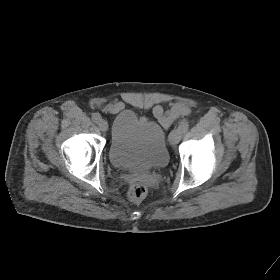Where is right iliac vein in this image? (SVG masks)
<instances>
[{
  "instance_id": "63e3f726",
  "label": "right iliac vein",
  "mask_w": 280,
  "mask_h": 280,
  "mask_svg": "<svg viewBox=\"0 0 280 280\" xmlns=\"http://www.w3.org/2000/svg\"><path fill=\"white\" fill-rule=\"evenodd\" d=\"M98 127L99 129L102 131V132H105L108 130V123L105 121V120H101L99 123H98Z\"/></svg>"
}]
</instances>
